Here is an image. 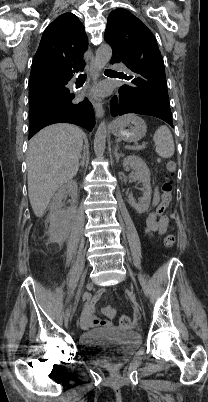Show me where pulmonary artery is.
<instances>
[{
	"mask_svg": "<svg viewBox=\"0 0 208 402\" xmlns=\"http://www.w3.org/2000/svg\"><path fill=\"white\" fill-rule=\"evenodd\" d=\"M114 70L116 71L117 74H122L123 70H127V68L123 64H115L114 65Z\"/></svg>",
	"mask_w": 208,
	"mask_h": 402,
	"instance_id": "1",
	"label": "pulmonary artery"
}]
</instances>
